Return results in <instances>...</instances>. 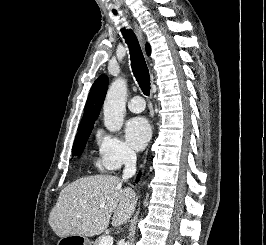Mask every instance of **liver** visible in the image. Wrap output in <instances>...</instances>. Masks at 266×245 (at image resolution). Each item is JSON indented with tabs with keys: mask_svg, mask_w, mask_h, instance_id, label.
<instances>
[{
	"mask_svg": "<svg viewBox=\"0 0 266 245\" xmlns=\"http://www.w3.org/2000/svg\"><path fill=\"white\" fill-rule=\"evenodd\" d=\"M136 199L133 189H122L118 177H83L62 189L49 215V225L61 239L70 235H101L108 229L111 215L112 227L125 225L131 219Z\"/></svg>",
	"mask_w": 266,
	"mask_h": 245,
	"instance_id": "liver-1",
	"label": "liver"
}]
</instances>
